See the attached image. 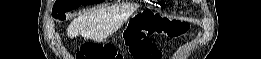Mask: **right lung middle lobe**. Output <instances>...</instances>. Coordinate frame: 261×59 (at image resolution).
I'll list each match as a JSON object with an SVG mask.
<instances>
[{
  "label": "right lung middle lobe",
  "mask_w": 261,
  "mask_h": 59,
  "mask_svg": "<svg viewBox=\"0 0 261 59\" xmlns=\"http://www.w3.org/2000/svg\"><path fill=\"white\" fill-rule=\"evenodd\" d=\"M103 2V0H57L54 3L52 16L65 19V13L81 5H89Z\"/></svg>",
  "instance_id": "obj_1"
}]
</instances>
